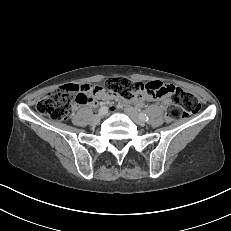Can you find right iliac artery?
<instances>
[{
    "label": "right iliac artery",
    "instance_id": "82829eb1",
    "mask_svg": "<svg viewBox=\"0 0 231 231\" xmlns=\"http://www.w3.org/2000/svg\"><path fill=\"white\" fill-rule=\"evenodd\" d=\"M108 108L106 106H102L99 110V113H105L107 112Z\"/></svg>",
    "mask_w": 231,
    "mask_h": 231
}]
</instances>
